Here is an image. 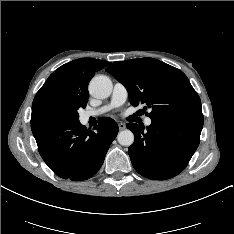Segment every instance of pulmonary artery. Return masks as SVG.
<instances>
[{
  "instance_id": "obj_1",
  "label": "pulmonary artery",
  "mask_w": 234,
  "mask_h": 234,
  "mask_svg": "<svg viewBox=\"0 0 234 234\" xmlns=\"http://www.w3.org/2000/svg\"><path fill=\"white\" fill-rule=\"evenodd\" d=\"M127 98L128 91L125 85L120 82H116L113 87L110 101L97 109L86 111L83 115V118L88 119L90 117L100 116L113 108L123 105L126 102ZM144 123L146 126H149L151 125L152 120L147 117Z\"/></svg>"
}]
</instances>
